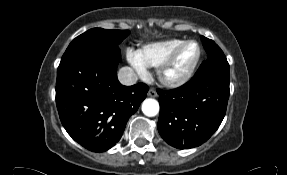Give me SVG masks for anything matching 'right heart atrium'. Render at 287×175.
Listing matches in <instances>:
<instances>
[{
    "instance_id": "obj_1",
    "label": "right heart atrium",
    "mask_w": 287,
    "mask_h": 175,
    "mask_svg": "<svg viewBox=\"0 0 287 175\" xmlns=\"http://www.w3.org/2000/svg\"><path fill=\"white\" fill-rule=\"evenodd\" d=\"M127 60L130 63V65L137 71V73L145 77L148 74L147 68L142 64L140 61L139 55L137 51L134 50H128L126 53Z\"/></svg>"
}]
</instances>
